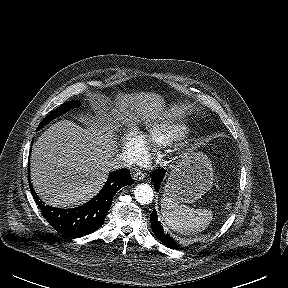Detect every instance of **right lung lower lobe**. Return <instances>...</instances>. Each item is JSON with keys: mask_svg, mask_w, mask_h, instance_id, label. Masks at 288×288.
<instances>
[{"mask_svg": "<svg viewBox=\"0 0 288 288\" xmlns=\"http://www.w3.org/2000/svg\"><path fill=\"white\" fill-rule=\"evenodd\" d=\"M131 184L132 178L128 169L114 171L109 175L104 187L94 198L84 205L72 209H58L44 205L31 184L30 189L48 223L58 232L70 238H77L99 229L104 223L116 192L120 188Z\"/></svg>", "mask_w": 288, "mask_h": 288, "instance_id": "1", "label": "right lung lower lobe"}]
</instances>
